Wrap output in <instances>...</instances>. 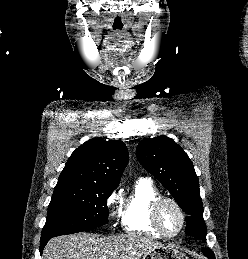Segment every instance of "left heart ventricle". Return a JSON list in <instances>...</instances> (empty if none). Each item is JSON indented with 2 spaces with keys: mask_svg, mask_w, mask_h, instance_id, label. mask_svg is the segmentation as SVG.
I'll return each instance as SVG.
<instances>
[{
  "mask_svg": "<svg viewBox=\"0 0 248 259\" xmlns=\"http://www.w3.org/2000/svg\"><path fill=\"white\" fill-rule=\"evenodd\" d=\"M163 228L169 234L176 233L181 225V217L178 210L170 203L163 205L160 213Z\"/></svg>",
  "mask_w": 248,
  "mask_h": 259,
  "instance_id": "left-heart-ventricle-1",
  "label": "left heart ventricle"
}]
</instances>
